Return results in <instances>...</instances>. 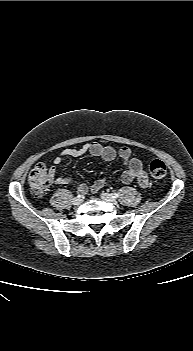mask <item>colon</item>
Here are the masks:
<instances>
[{"mask_svg": "<svg viewBox=\"0 0 193 351\" xmlns=\"http://www.w3.org/2000/svg\"><path fill=\"white\" fill-rule=\"evenodd\" d=\"M149 172L152 178L164 180L167 176V166L162 160L155 159L149 165ZM52 178V173L45 164H37L28 177L32 192L37 196L44 195L49 188Z\"/></svg>", "mask_w": 193, "mask_h": 351, "instance_id": "colon-1", "label": "colon"}]
</instances>
